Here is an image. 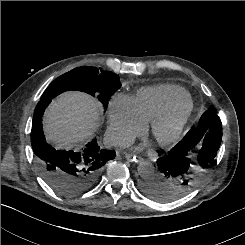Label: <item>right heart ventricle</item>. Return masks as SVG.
Here are the masks:
<instances>
[{"instance_id": "obj_1", "label": "right heart ventricle", "mask_w": 245, "mask_h": 245, "mask_svg": "<svg viewBox=\"0 0 245 245\" xmlns=\"http://www.w3.org/2000/svg\"><path fill=\"white\" fill-rule=\"evenodd\" d=\"M188 100L190 94L184 88L172 84L143 87L134 97L138 113L146 123Z\"/></svg>"}]
</instances>
